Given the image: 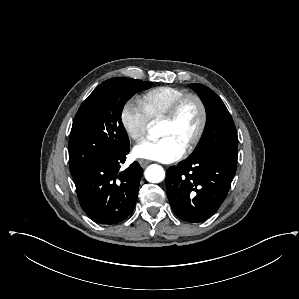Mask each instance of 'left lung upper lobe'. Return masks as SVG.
Wrapping results in <instances>:
<instances>
[{
    "label": "left lung upper lobe",
    "mask_w": 299,
    "mask_h": 299,
    "mask_svg": "<svg viewBox=\"0 0 299 299\" xmlns=\"http://www.w3.org/2000/svg\"><path fill=\"white\" fill-rule=\"evenodd\" d=\"M189 86L196 91L205 106L207 128L202 141L188 159L194 160L218 154L237 161V132L225 104L210 88L199 83H192Z\"/></svg>",
    "instance_id": "5c2ea615"
}]
</instances>
